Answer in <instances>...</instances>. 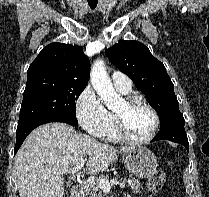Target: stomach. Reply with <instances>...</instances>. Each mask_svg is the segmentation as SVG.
Returning <instances> with one entry per match:
<instances>
[{
    "label": "stomach",
    "mask_w": 209,
    "mask_h": 197,
    "mask_svg": "<svg viewBox=\"0 0 209 197\" xmlns=\"http://www.w3.org/2000/svg\"><path fill=\"white\" fill-rule=\"evenodd\" d=\"M123 162L133 175L140 178L151 177L158 166L156 156L144 147H134L123 156Z\"/></svg>",
    "instance_id": "1"
}]
</instances>
